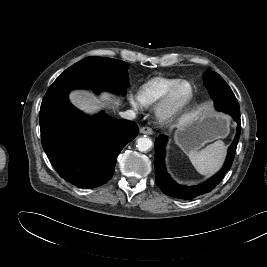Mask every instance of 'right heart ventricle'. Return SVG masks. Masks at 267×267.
Here are the masks:
<instances>
[{
    "label": "right heart ventricle",
    "instance_id": "e07e8e85",
    "mask_svg": "<svg viewBox=\"0 0 267 267\" xmlns=\"http://www.w3.org/2000/svg\"><path fill=\"white\" fill-rule=\"evenodd\" d=\"M177 78L155 77L144 83L138 91V97L142 104L150 106L157 103L176 83Z\"/></svg>",
    "mask_w": 267,
    "mask_h": 267
}]
</instances>
